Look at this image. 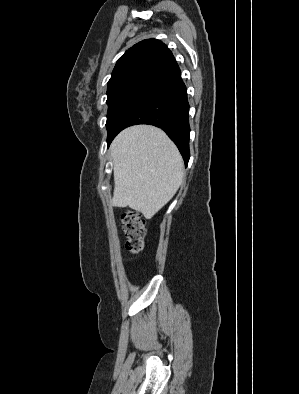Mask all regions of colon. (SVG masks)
I'll return each mask as SVG.
<instances>
[{
    "label": "colon",
    "instance_id": "obj_1",
    "mask_svg": "<svg viewBox=\"0 0 299 394\" xmlns=\"http://www.w3.org/2000/svg\"><path fill=\"white\" fill-rule=\"evenodd\" d=\"M122 223L127 237L126 247L132 254H139L144 247L145 225L138 213L132 210L123 212Z\"/></svg>",
    "mask_w": 299,
    "mask_h": 394
}]
</instances>
